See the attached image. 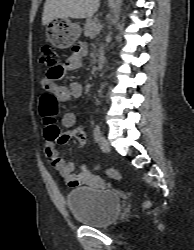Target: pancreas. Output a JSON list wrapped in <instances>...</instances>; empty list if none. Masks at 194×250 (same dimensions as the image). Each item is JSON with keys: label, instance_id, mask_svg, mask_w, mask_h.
Masks as SVG:
<instances>
[{"label": "pancreas", "instance_id": "1", "mask_svg": "<svg viewBox=\"0 0 194 250\" xmlns=\"http://www.w3.org/2000/svg\"><path fill=\"white\" fill-rule=\"evenodd\" d=\"M100 29L97 18H88L84 24V34L86 36H94L96 31Z\"/></svg>", "mask_w": 194, "mask_h": 250}]
</instances>
